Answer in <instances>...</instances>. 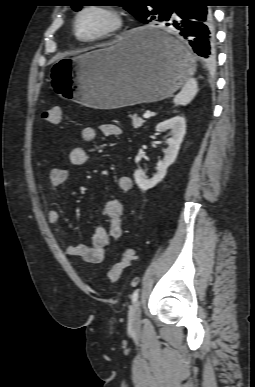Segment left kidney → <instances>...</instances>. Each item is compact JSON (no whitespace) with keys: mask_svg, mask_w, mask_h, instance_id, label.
I'll return each mask as SVG.
<instances>
[{"mask_svg":"<svg viewBox=\"0 0 255 387\" xmlns=\"http://www.w3.org/2000/svg\"><path fill=\"white\" fill-rule=\"evenodd\" d=\"M156 130L159 132L171 130V137L167 139L168 148L164 151V159L157 164V173L152 178L147 179L141 169L135 170V182L143 191L153 188L159 183L165 177L168 167L175 161L186 133L185 118L182 116H175L165 120L156 126Z\"/></svg>","mask_w":255,"mask_h":387,"instance_id":"obj_1","label":"left kidney"}]
</instances>
